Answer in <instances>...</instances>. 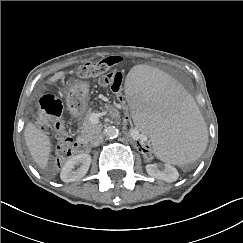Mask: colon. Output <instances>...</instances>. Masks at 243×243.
<instances>
[{
    "label": "colon",
    "mask_w": 243,
    "mask_h": 243,
    "mask_svg": "<svg viewBox=\"0 0 243 243\" xmlns=\"http://www.w3.org/2000/svg\"><path fill=\"white\" fill-rule=\"evenodd\" d=\"M123 63L121 56H109L96 61L87 62L77 69V77L80 80H88L98 78L100 84L110 87L112 92L118 95L116 102L119 105L124 104L125 99L121 96L123 74L118 69ZM38 116L35 123L42 131H55L59 145L57 150V163L61 164L73 154L72 142L69 134L65 130L62 117L63 105L59 98L54 95H44L37 104ZM123 128L121 135L125 141L135 147L138 154L146 156L149 160H154L157 157V152L150 149L146 143L139 142L131 138L132 136V121L131 112L128 109L123 110Z\"/></svg>",
    "instance_id": "5ec220e1"
}]
</instances>
